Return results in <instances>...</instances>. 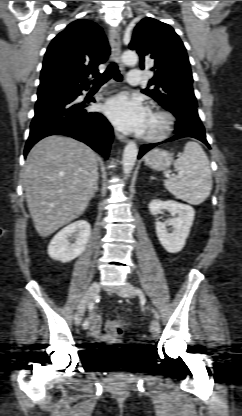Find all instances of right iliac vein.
Instances as JSON below:
<instances>
[{"label": "right iliac vein", "instance_id": "1", "mask_svg": "<svg viewBox=\"0 0 242 416\" xmlns=\"http://www.w3.org/2000/svg\"><path fill=\"white\" fill-rule=\"evenodd\" d=\"M99 289H100V286L97 282H94L90 285L87 293L81 300L77 308L76 314H75V323L77 325L80 324V322L82 321L87 305L98 294Z\"/></svg>", "mask_w": 242, "mask_h": 416}]
</instances>
